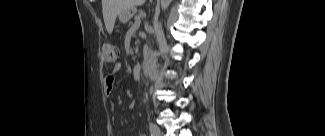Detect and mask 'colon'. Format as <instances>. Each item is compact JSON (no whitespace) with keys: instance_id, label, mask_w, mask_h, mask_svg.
I'll list each match as a JSON object with an SVG mask.
<instances>
[{"instance_id":"colon-1","label":"colon","mask_w":325,"mask_h":136,"mask_svg":"<svg viewBox=\"0 0 325 136\" xmlns=\"http://www.w3.org/2000/svg\"><path fill=\"white\" fill-rule=\"evenodd\" d=\"M102 54L105 62L112 64L116 62L119 51L115 45L111 43H105L102 46Z\"/></svg>"}]
</instances>
